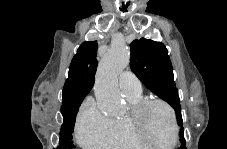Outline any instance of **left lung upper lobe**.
I'll return each instance as SVG.
<instances>
[{"label": "left lung upper lobe", "mask_w": 227, "mask_h": 149, "mask_svg": "<svg viewBox=\"0 0 227 149\" xmlns=\"http://www.w3.org/2000/svg\"><path fill=\"white\" fill-rule=\"evenodd\" d=\"M130 67L142 83L175 110L179 126H182L181 106L174 83L173 68L164 44L141 38L130 44ZM181 147L185 148L183 128L179 133Z\"/></svg>", "instance_id": "left-lung-upper-lobe-1"}]
</instances>
